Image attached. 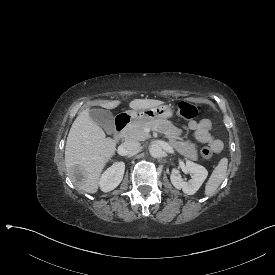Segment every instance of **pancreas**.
<instances>
[{
    "instance_id": "pancreas-1",
    "label": "pancreas",
    "mask_w": 275,
    "mask_h": 275,
    "mask_svg": "<svg viewBox=\"0 0 275 275\" xmlns=\"http://www.w3.org/2000/svg\"><path fill=\"white\" fill-rule=\"evenodd\" d=\"M157 129L163 133L168 139V143L181 155L198 161V149L191 140H182L181 136L183 130L174 126L171 121L166 119H155L149 122L135 121L128 125L124 131L127 139H135L145 141L150 138V134L146 133L144 129Z\"/></svg>"
}]
</instances>
